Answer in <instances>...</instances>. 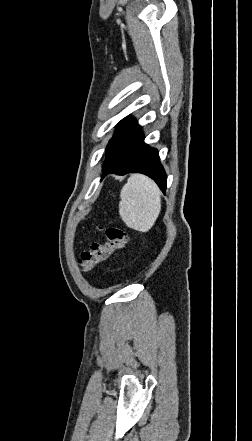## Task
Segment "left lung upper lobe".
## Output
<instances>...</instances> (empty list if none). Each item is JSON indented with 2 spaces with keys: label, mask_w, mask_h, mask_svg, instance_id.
Returning <instances> with one entry per match:
<instances>
[{
  "label": "left lung upper lobe",
  "mask_w": 252,
  "mask_h": 441,
  "mask_svg": "<svg viewBox=\"0 0 252 441\" xmlns=\"http://www.w3.org/2000/svg\"><path fill=\"white\" fill-rule=\"evenodd\" d=\"M134 122L135 120L133 118L127 117L119 123L115 130L113 138L110 140L106 148V160L103 163V167L109 165L115 158L118 150L120 149L124 141L126 134L130 130Z\"/></svg>",
  "instance_id": "5c2ea615"
}]
</instances>
